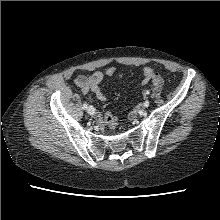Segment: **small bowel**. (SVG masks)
<instances>
[{"label":"small bowel","mask_w":220,"mask_h":220,"mask_svg":"<svg viewBox=\"0 0 220 220\" xmlns=\"http://www.w3.org/2000/svg\"><path fill=\"white\" fill-rule=\"evenodd\" d=\"M116 74V69L114 67H109L105 70V72L96 71L91 75L85 76L80 75L75 79V85L80 88L83 93H89L91 95H95L98 100L105 101L107 99L106 95L100 88V84L102 83L105 76L112 77ZM142 80L141 84L146 85L148 83H152L157 86V80L163 79L162 76L155 72L151 67L144 66L142 68ZM97 120L99 123H103V118L101 115H97Z\"/></svg>","instance_id":"1"}]
</instances>
